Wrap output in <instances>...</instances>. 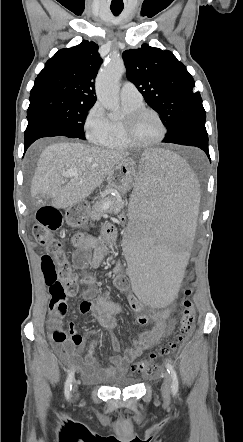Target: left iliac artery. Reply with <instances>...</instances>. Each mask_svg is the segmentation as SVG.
Masks as SVG:
<instances>
[{
  "label": "left iliac artery",
  "mask_w": 243,
  "mask_h": 442,
  "mask_svg": "<svg viewBox=\"0 0 243 442\" xmlns=\"http://www.w3.org/2000/svg\"><path fill=\"white\" fill-rule=\"evenodd\" d=\"M166 367H167V371H168V373L171 377V380H172L171 391H172L173 395H176L178 392V386H179L177 373H176L174 367L170 363H167Z\"/></svg>",
  "instance_id": "1"
}]
</instances>
